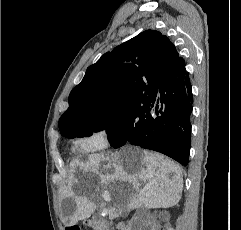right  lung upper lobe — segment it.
I'll return each mask as SVG.
<instances>
[{
	"label": "right lung upper lobe",
	"instance_id": "1",
	"mask_svg": "<svg viewBox=\"0 0 241 230\" xmlns=\"http://www.w3.org/2000/svg\"><path fill=\"white\" fill-rule=\"evenodd\" d=\"M181 59L165 35L147 30L105 53L69 95V108L59 119L60 132L106 117L118 108L151 100L163 76Z\"/></svg>",
	"mask_w": 241,
	"mask_h": 230
}]
</instances>
